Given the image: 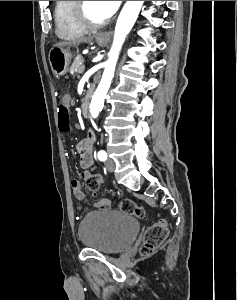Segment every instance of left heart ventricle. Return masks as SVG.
Here are the masks:
<instances>
[{
    "mask_svg": "<svg viewBox=\"0 0 237 300\" xmlns=\"http://www.w3.org/2000/svg\"><path fill=\"white\" fill-rule=\"evenodd\" d=\"M85 9L88 16L94 21H103L110 17L102 1H85Z\"/></svg>",
    "mask_w": 237,
    "mask_h": 300,
    "instance_id": "b2bd125f",
    "label": "left heart ventricle"
}]
</instances>
